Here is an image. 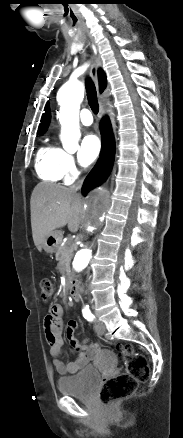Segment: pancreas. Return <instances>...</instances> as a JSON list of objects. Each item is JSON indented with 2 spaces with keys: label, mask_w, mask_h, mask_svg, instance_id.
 Returning a JSON list of instances; mask_svg holds the SVG:
<instances>
[{
  "label": "pancreas",
  "mask_w": 183,
  "mask_h": 438,
  "mask_svg": "<svg viewBox=\"0 0 183 438\" xmlns=\"http://www.w3.org/2000/svg\"><path fill=\"white\" fill-rule=\"evenodd\" d=\"M72 257L73 247L70 242H66L63 246L58 247L56 259L62 265V269L69 270Z\"/></svg>",
  "instance_id": "cf45deb5"
}]
</instances>
